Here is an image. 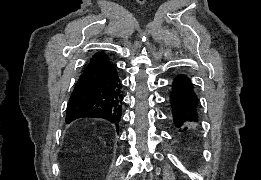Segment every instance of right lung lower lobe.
<instances>
[{
	"mask_svg": "<svg viewBox=\"0 0 261 180\" xmlns=\"http://www.w3.org/2000/svg\"><path fill=\"white\" fill-rule=\"evenodd\" d=\"M121 82L115 64L106 61L83 70L69 98L65 121L104 118L118 130L122 115Z\"/></svg>",
	"mask_w": 261,
	"mask_h": 180,
	"instance_id": "right-lung-lower-lobe-1",
	"label": "right lung lower lobe"
}]
</instances>
